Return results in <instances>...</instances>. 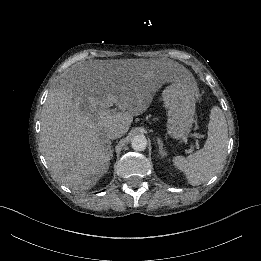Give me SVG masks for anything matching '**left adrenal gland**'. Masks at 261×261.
Listing matches in <instances>:
<instances>
[{"instance_id":"obj_1","label":"left adrenal gland","mask_w":261,"mask_h":261,"mask_svg":"<svg viewBox=\"0 0 261 261\" xmlns=\"http://www.w3.org/2000/svg\"><path fill=\"white\" fill-rule=\"evenodd\" d=\"M157 143L159 145V154L161 155V157L166 156L167 153L163 150V142L161 141L160 138H157Z\"/></svg>"}]
</instances>
